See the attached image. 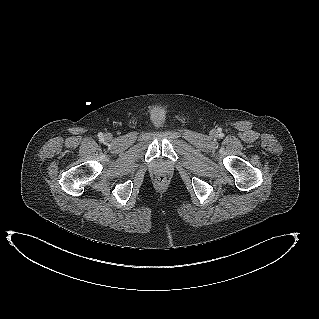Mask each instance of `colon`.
Returning <instances> with one entry per match:
<instances>
[{
  "instance_id": "obj_1",
  "label": "colon",
  "mask_w": 319,
  "mask_h": 319,
  "mask_svg": "<svg viewBox=\"0 0 319 319\" xmlns=\"http://www.w3.org/2000/svg\"><path fill=\"white\" fill-rule=\"evenodd\" d=\"M156 182L159 184V185H164L166 182H167V177L164 176V175H160L156 178Z\"/></svg>"
}]
</instances>
